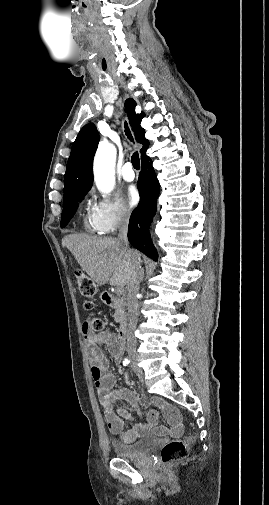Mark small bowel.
Masks as SVG:
<instances>
[{"instance_id":"obj_1","label":"small bowel","mask_w":269,"mask_h":505,"mask_svg":"<svg viewBox=\"0 0 269 505\" xmlns=\"http://www.w3.org/2000/svg\"><path fill=\"white\" fill-rule=\"evenodd\" d=\"M82 333L88 342L91 375L110 432L120 436L125 442H132L150 431L158 435L181 436L184 427L178 410L160 397L151 399L152 409L144 422L137 423L129 429L125 428L126 421L131 420V415L124 408L115 411L113 404L116 400L123 399L127 401L139 416L143 417L144 414L135 393L127 388H113L115 376L109 370V361L103 352V348L107 349L115 362L119 363L123 356V348L114 334H93L87 329L86 322L82 325ZM158 410L164 413L170 425L169 428L158 425Z\"/></svg>"}]
</instances>
